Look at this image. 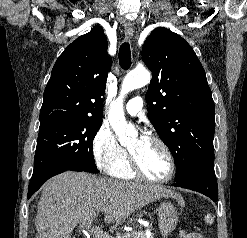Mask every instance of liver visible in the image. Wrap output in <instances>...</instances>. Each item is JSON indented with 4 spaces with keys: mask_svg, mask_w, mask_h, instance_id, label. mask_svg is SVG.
Here are the masks:
<instances>
[{
    "mask_svg": "<svg viewBox=\"0 0 247 238\" xmlns=\"http://www.w3.org/2000/svg\"><path fill=\"white\" fill-rule=\"evenodd\" d=\"M162 197L180 196L160 185L129 183L85 172H65L42 187L35 225L38 238H71L73 229L98 211L105 222L120 223ZM92 219V220H93Z\"/></svg>",
    "mask_w": 247,
    "mask_h": 238,
    "instance_id": "6515ba94",
    "label": "liver"
}]
</instances>
